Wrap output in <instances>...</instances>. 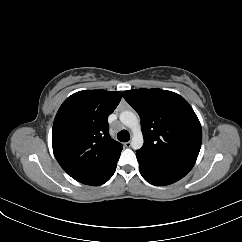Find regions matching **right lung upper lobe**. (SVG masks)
I'll list each match as a JSON object with an SVG mask.
<instances>
[{"label": "right lung upper lobe", "mask_w": 242, "mask_h": 242, "mask_svg": "<svg viewBox=\"0 0 242 242\" xmlns=\"http://www.w3.org/2000/svg\"><path fill=\"white\" fill-rule=\"evenodd\" d=\"M122 98L118 91L85 90L60 106L52 130V146L61 167L81 182L119 154L122 144L109 135L108 116Z\"/></svg>", "instance_id": "cb5924a9"}]
</instances>
